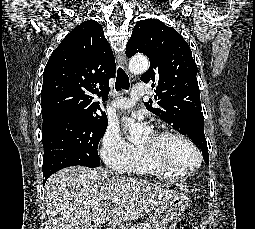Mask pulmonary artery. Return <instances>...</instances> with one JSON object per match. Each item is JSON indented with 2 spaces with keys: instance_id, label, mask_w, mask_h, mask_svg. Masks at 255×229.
I'll use <instances>...</instances> for the list:
<instances>
[{
  "instance_id": "pulmonary-artery-1",
  "label": "pulmonary artery",
  "mask_w": 255,
  "mask_h": 229,
  "mask_svg": "<svg viewBox=\"0 0 255 229\" xmlns=\"http://www.w3.org/2000/svg\"><path fill=\"white\" fill-rule=\"evenodd\" d=\"M147 94V89L144 84L137 83L131 90V97H116L112 104L116 109L123 110L132 108L135 105V100Z\"/></svg>"
}]
</instances>
